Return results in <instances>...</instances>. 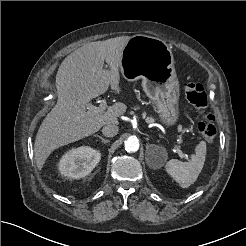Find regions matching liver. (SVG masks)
<instances>
[{"instance_id":"obj_1","label":"liver","mask_w":246,"mask_h":246,"mask_svg":"<svg viewBox=\"0 0 246 246\" xmlns=\"http://www.w3.org/2000/svg\"><path fill=\"white\" fill-rule=\"evenodd\" d=\"M129 39L121 36L87 43L63 60L56 75L57 104L44 118L35 139L34 158L39 170L55 149L88 137L104 125H118V117L127 109L124 103L116 102L97 115L86 109L109 86L120 94L119 67ZM104 62L109 69L103 68Z\"/></svg>"}]
</instances>
